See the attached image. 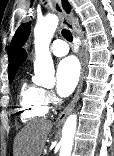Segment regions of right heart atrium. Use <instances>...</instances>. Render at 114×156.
<instances>
[{
	"mask_svg": "<svg viewBox=\"0 0 114 156\" xmlns=\"http://www.w3.org/2000/svg\"><path fill=\"white\" fill-rule=\"evenodd\" d=\"M44 98L48 104H52L56 100V97L51 90H44Z\"/></svg>",
	"mask_w": 114,
	"mask_h": 156,
	"instance_id": "1",
	"label": "right heart atrium"
}]
</instances>
